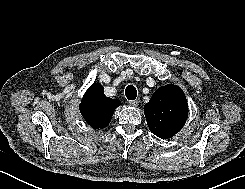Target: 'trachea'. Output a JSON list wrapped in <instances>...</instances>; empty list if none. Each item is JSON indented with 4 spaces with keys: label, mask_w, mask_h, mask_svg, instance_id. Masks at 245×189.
<instances>
[{
    "label": "trachea",
    "mask_w": 245,
    "mask_h": 189,
    "mask_svg": "<svg viewBox=\"0 0 245 189\" xmlns=\"http://www.w3.org/2000/svg\"><path fill=\"white\" fill-rule=\"evenodd\" d=\"M127 99L135 100L137 97V90L133 85H128L125 90Z\"/></svg>",
    "instance_id": "trachea-1"
}]
</instances>
